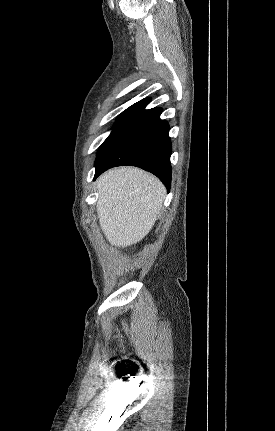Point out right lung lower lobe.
Segmentation results:
<instances>
[{
	"label": "right lung lower lobe",
	"instance_id": "98d812e1",
	"mask_svg": "<svg viewBox=\"0 0 275 431\" xmlns=\"http://www.w3.org/2000/svg\"><path fill=\"white\" fill-rule=\"evenodd\" d=\"M161 112L160 107L143 109L121 128L98 154L94 180L109 168L133 165L156 175L170 190L172 146Z\"/></svg>",
	"mask_w": 275,
	"mask_h": 431
}]
</instances>
